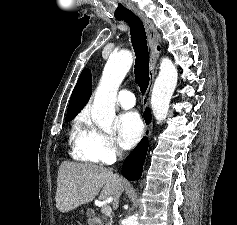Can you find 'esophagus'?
I'll list each match as a JSON object with an SVG mask.
<instances>
[{
    "instance_id": "34e87169",
    "label": "esophagus",
    "mask_w": 237,
    "mask_h": 225,
    "mask_svg": "<svg viewBox=\"0 0 237 225\" xmlns=\"http://www.w3.org/2000/svg\"><path fill=\"white\" fill-rule=\"evenodd\" d=\"M134 13L142 20L144 23L148 35H149V49H150V68H149V76H150V82L149 86L147 89V93L143 98V110H145L150 102V95L154 83V78H155V68H156V63H157V47L161 42V37L160 34L158 33L156 27L154 26V23L152 20L147 18L141 11L139 10H134ZM152 132V126L148 125L145 128V137L150 138Z\"/></svg>"
}]
</instances>
